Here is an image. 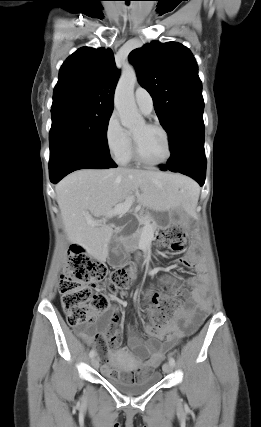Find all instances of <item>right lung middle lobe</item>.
Listing matches in <instances>:
<instances>
[{
    "label": "right lung middle lobe",
    "mask_w": 261,
    "mask_h": 427,
    "mask_svg": "<svg viewBox=\"0 0 261 427\" xmlns=\"http://www.w3.org/2000/svg\"><path fill=\"white\" fill-rule=\"evenodd\" d=\"M112 110L82 105L51 109L50 155L78 150L110 156L107 127Z\"/></svg>",
    "instance_id": "right-lung-middle-lobe-1"
}]
</instances>
